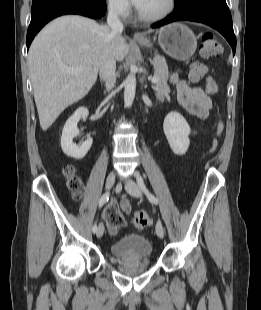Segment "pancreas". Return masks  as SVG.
I'll return each instance as SVG.
<instances>
[{"label": "pancreas", "instance_id": "1", "mask_svg": "<svg viewBox=\"0 0 261 310\" xmlns=\"http://www.w3.org/2000/svg\"><path fill=\"white\" fill-rule=\"evenodd\" d=\"M154 65V77L158 78V82L156 83L157 86H163L167 84L168 81V66L164 59L162 58H155L153 60Z\"/></svg>", "mask_w": 261, "mask_h": 310}]
</instances>
